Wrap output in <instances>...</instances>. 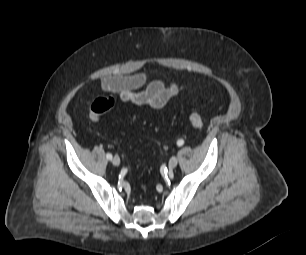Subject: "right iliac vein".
<instances>
[{
    "instance_id": "obj_1",
    "label": "right iliac vein",
    "mask_w": 306,
    "mask_h": 255,
    "mask_svg": "<svg viewBox=\"0 0 306 255\" xmlns=\"http://www.w3.org/2000/svg\"><path fill=\"white\" fill-rule=\"evenodd\" d=\"M112 163H113V165H115V166H119V165H120V158H119V156L115 155V156L113 157V159H112Z\"/></svg>"
}]
</instances>
